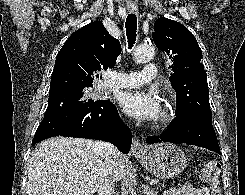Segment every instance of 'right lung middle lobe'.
I'll return each mask as SVG.
<instances>
[{
    "mask_svg": "<svg viewBox=\"0 0 245 195\" xmlns=\"http://www.w3.org/2000/svg\"><path fill=\"white\" fill-rule=\"evenodd\" d=\"M90 87H73L50 93L48 107L44 116L74 107L92 105L97 100L87 96L86 91Z\"/></svg>",
    "mask_w": 245,
    "mask_h": 195,
    "instance_id": "right-lung-middle-lobe-1",
    "label": "right lung middle lobe"
}]
</instances>
